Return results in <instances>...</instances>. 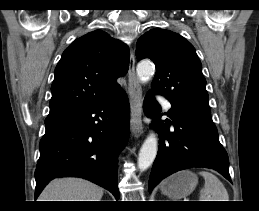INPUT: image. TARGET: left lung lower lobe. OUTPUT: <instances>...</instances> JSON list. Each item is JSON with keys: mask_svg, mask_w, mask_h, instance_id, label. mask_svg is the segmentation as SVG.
<instances>
[{"mask_svg": "<svg viewBox=\"0 0 259 211\" xmlns=\"http://www.w3.org/2000/svg\"><path fill=\"white\" fill-rule=\"evenodd\" d=\"M170 103L168 116L172 121H163L160 120L161 107L154 98V92L149 90L144 99V112L155 119L153 124L160 143L150 174L149 192L170 174L193 167L212 168L231 181L228 155L219 142L211 112Z\"/></svg>", "mask_w": 259, "mask_h": 211, "instance_id": "obj_1", "label": "left lung lower lobe"}]
</instances>
